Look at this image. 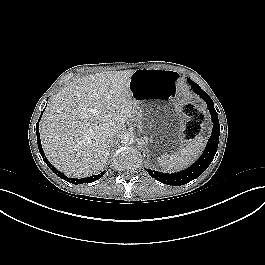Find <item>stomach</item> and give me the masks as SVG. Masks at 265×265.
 <instances>
[{"label":"stomach","instance_id":"0dacf381","mask_svg":"<svg viewBox=\"0 0 265 265\" xmlns=\"http://www.w3.org/2000/svg\"><path fill=\"white\" fill-rule=\"evenodd\" d=\"M179 74L171 70L138 69L129 88L147 153L155 160L170 159L183 139V116L175 101Z\"/></svg>","mask_w":265,"mask_h":265}]
</instances>
